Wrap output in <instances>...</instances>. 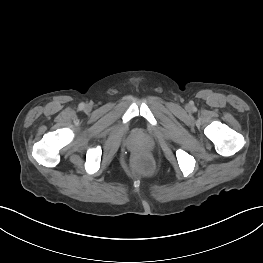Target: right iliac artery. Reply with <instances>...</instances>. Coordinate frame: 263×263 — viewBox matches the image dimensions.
Listing matches in <instances>:
<instances>
[{"mask_svg": "<svg viewBox=\"0 0 263 263\" xmlns=\"http://www.w3.org/2000/svg\"><path fill=\"white\" fill-rule=\"evenodd\" d=\"M84 108V103L79 104V109H83Z\"/></svg>", "mask_w": 263, "mask_h": 263, "instance_id": "82829eb1", "label": "right iliac artery"}]
</instances>
